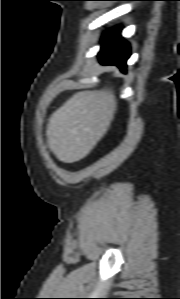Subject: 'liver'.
<instances>
[{
  "label": "liver",
  "instance_id": "1",
  "mask_svg": "<svg viewBox=\"0 0 180 299\" xmlns=\"http://www.w3.org/2000/svg\"><path fill=\"white\" fill-rule=\"evenodd\" d=\"M116 109L111 89L75 93L51 115L46 130L48 147L61 162L83 159L107 132Z\"/></svg>",
  "mask_w": 180,
  "mask_h": 299
}]
</instances>
